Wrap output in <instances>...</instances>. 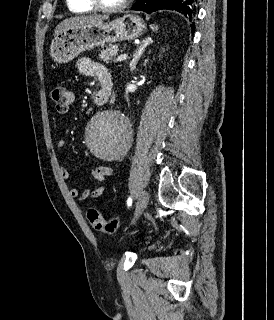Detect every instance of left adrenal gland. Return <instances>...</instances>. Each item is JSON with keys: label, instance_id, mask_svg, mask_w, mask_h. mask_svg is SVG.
Here are the masks:
<instances>
[{"label": "left adrenal gland", "instance_id": "a2214340", "mask_svg": "<svg viewBox=\"0 0 274 320\" xmlns=\"http://www.w3.org/2000/svg\"><path fill=\"white\" fill-rule=\"evenodd\" d=\"M153 40L151 38H145L144 42L140 44L138 50H136L135 54H133L132 62H130L129 70L130 72H134L141 56H143L145 52V48L149 46V44H152Z\"/></svg>", "mask_w": 274, "mask_h": 320}]
</instances>
